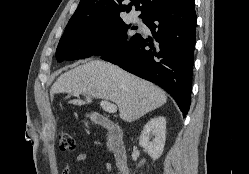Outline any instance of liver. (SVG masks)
I'll return each mask as SVG.
<instances>
[{"instance_id":"1","label":"liver","mask_w":249,"mask_h":174,"mask_svg":"<svg viewBox=\"0 0 249 174\" xmlns=\"http://www.w3.org/2000/svg\"><path fill=\"white\" fill-rule=\"evenodd\" d=\"M58 93L84 95L85 100L70 101L79 106L92 103L93 98L110 100L126 122L139 119L167 101L158 86L100 60H91L62 74L50 90L51 97Z\"/></svg>"}]
</instances>
